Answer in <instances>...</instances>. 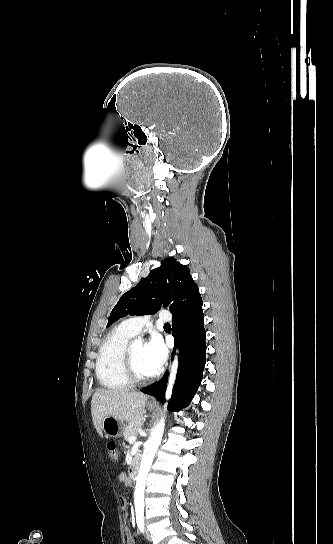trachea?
Wrapping results in <instances>:
<instances>
[{
    "mask_svg": "<svg viewBox=\"0 0 333 544\" xmlns=\"http://www.w3.org/2000/svg\"><path fill=\"white\" fill-rule=\"evenodd\" d=\"M164 326H165V327H170V324H169V323H166Z\"/></svg>",
    "mask_w": 333,
    "mask_h": 544,
    "instance_id": "trachea-1",
    "label": "trachea"
}]
</instances>
